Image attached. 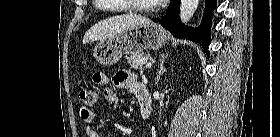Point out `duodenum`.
<instances>
[{
    "instance_id": "duodenum-1",
    "label": "duodenum",
    "mask_w": 280,
    "mask_h": 137,
    "mask_svg": "<svg viewBox=\"0 0 280 137\" xmlns=\"http://www.w3.org/2000/svg\"><path fill=\"white\" fill-rule=\"evenodd\" d=\"M137 98L140 104L141 116L144 119L150 118L152 115L151 97L146 85L140 84L137 90Z\"/></svg>"
}]
</instances>
